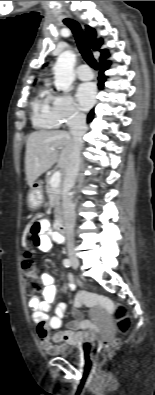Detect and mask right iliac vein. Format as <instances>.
Here are the masks:
<instances>
[{
	"label": "right iliac vein",
	"mask_w": 155,
	"mask_h": 395,
	"mask_svg": "<svg viewBox=\"0 0 155 395\" xmlns=\"http://www.w3.org/2000/svg\"><path fill=\"white\" fill-rule=\"evenodd\" d=\"M70 260H71V263L74 265V266H79V260L75 257V256H72L71 258H70Z\"/></svg>",
	"instance_id": "right-iliac-vein-1"
}]
</instances>
